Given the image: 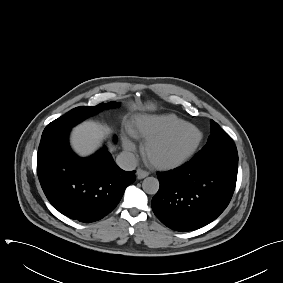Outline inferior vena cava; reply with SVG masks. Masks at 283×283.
<instances>
[{"label": "inferior vena cava", "instance_id": "obj_1", "mask_svg": "<svg viewBox=\"0 0 283 283\" xmlns=\"http://www.w3.org/2000/svg\"><path fill=\"white\" fill-rule=\"evenodd\" d=\"M117 165L123 170H134L137 165L136 158L133 153L122 152L116 158Z\"/></svg>", "mask_w": 283, "mask_h": 283}]
</instances>
